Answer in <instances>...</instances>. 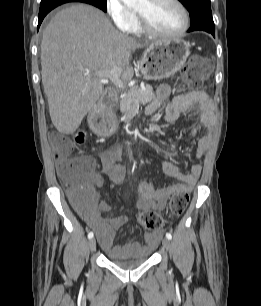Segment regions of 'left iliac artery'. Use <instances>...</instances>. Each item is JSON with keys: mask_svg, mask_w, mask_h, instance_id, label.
Instances as JSON below:
<instances>
[{"mask_svg": "<svg viewBox=\"0 0 261 306\" xmlns=\"http://www.w3.org/2000/svg\"><path fill=\"white\" fill-rule=\"evenodd\" d=\"M166 238H168L169 240H171V239H172L171 233L167 232V233H166Z\"/></svg>", "mask_w": 261, "mask_h": 306, "instance_id": "44dca946", "label": "left iliac artery"}]
</instances>
